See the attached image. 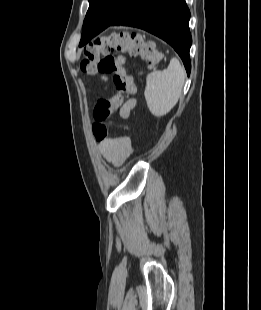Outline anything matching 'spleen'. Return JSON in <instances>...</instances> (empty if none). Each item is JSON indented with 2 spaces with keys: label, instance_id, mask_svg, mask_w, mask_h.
I'll return each instance as SVG.
<instances>
[{
  "label": "spleen",
  "instance_id": "spleen-1",
  "mask_svg": "<svg viewBox=\"0 0 261 310\" xmlns=\"http://www.w3.org/2000/svg\"><path fill=\"white\" fill-rule=\"evenodd\" d=\"M184 81L185 69L176 58L170 60L166 70L147 75L144 96L154 116L163 117L171 111L178 102Z\"/></svg>",
  "mask_w": 261,
  "mask_h": 310
}]
</instances>
